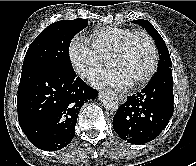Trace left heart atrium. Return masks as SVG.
Listing matches in <instances>:
<instances>
[{"label":"left heart atrium","instance_id":"1","mask_svg":"<svg viewBox=\"0 0 196 166\" xmlns=\"http://www.w3.org/2000/svg\"><path fill=\"white\" fill-rule=\"evenodd\" d=\"M91 82L96 86L110 85L117 89H126L131 86V82L115 68L97 72L91 77Z\"/></svg>","mask_w":196,"mask_h":166}]
</instances>
